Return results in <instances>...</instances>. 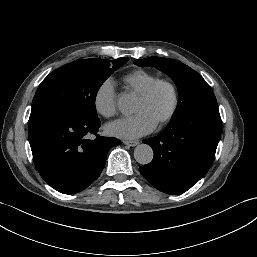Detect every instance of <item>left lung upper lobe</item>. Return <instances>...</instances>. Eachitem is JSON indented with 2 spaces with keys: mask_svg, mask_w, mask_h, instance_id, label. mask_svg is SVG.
I'll return each mask as SVG.
<instances>
[{
  "mask_svg": "<svg viewBox=\"0 0 257 257\" xmlns=\"http://www.w3.org/2000/svg\"><path fill=\"white\" fill-rule=\"evenodd\" d=\"M139 66H154L168 74L179 92V102L170 122L178 120L206 105L217 104L211 87L203 77L189 66L173 59L150 57L136 60Z\"/></svg>",
  "mask_w": 257,
  "mask_h": 257,
  "instance_id": "obj_1",
  "label": "left lung upper lobe"
}]
</instances>
